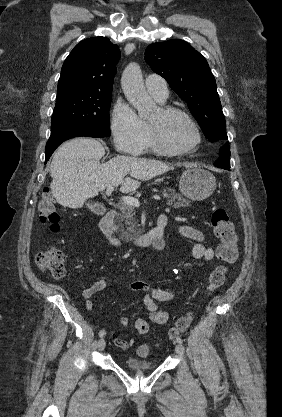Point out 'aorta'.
Instances as JSON below:
<instances>
[{"label":"aorta","instance_id":"obj_1","mask_svg":"<svg viewBox=\"0 0 282 417\" xmlns=\"http://www.w3.org/2000/svg\"><path fill=\"white\" fill-rule=\"evenodd\" d=\"M121 82L127 100L137 108L140 118H148L156 104L144 86L142 70L137 62L127 64Z\"/></svg>","mask_w":282,"mask_h":417}]
</instances>
